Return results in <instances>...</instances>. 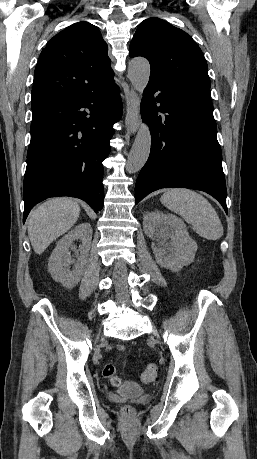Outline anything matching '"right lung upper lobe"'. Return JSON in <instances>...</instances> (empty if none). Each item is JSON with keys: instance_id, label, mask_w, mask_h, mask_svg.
<instances>
[{"instance_id": "cb5924a9", "label": "right lung upper lobe", "mask_w": 257, "mask_h": 459, "mask_svg": "<svg viewBox=\"0 0 257 459\" xmlns=\"http://www.w3.org/2000/svg\"><path fill=\"white\" fill-rule=\"evenodd\" d=\"M108 46L96 26L75 23L42 50L34 73L32 110L96 92L113 82Z\"/></svg>"}]
</instances>
